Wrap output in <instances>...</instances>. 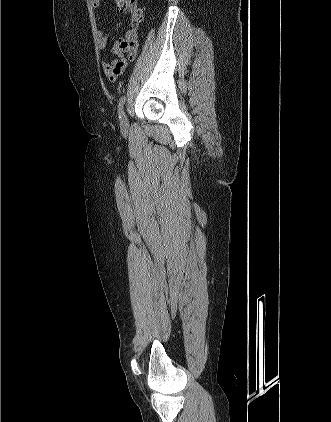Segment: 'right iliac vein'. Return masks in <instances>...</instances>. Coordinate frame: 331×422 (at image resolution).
Listing matches in <instances>:
<instances>
[{"instance_id": "obj_1", "label": "right iliac vein", "mask_w": 331, "mask_h": 422, "mask_svg": "<svg viewBox=\"0 0 331 422\" xmlns=\"http://www.w3.org/2000/svg\"><path fill=\"white\" fill-rule=\"evenodd\" d=\"M127 127H128V119H127L126 113L122 112L121 118H120V128L122 130H126Z\"/></svg>"}]
</instances>
